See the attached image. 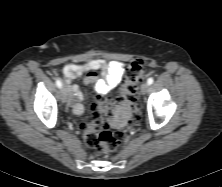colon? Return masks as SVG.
<instances>
[{"label": "colon", "instance_id": "obj_1", "mask_svg": "<svg viewBox=\"0 0 222 187\" xmlns=\"http://www.w3.org/2000/svg\"><path fill=\"white\" fill-rule=\"evenodd\" d=\"M144 65L141 59L129 65L125 88L117 102L101 99L98 105L92 106L93 119L80 125L87 147L103 153L114 152L125 133V126L140 119L137 94L143 80ZM110 125L116 127L115 131L109 130Z\"/></svg>", "mask_w": 222, "mask_h": 187}]
</instances>
